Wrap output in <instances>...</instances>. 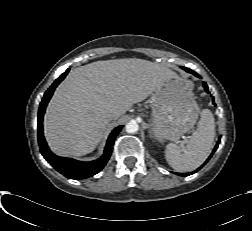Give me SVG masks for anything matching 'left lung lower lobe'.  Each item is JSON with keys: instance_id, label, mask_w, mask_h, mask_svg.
I'll use <instances>...</instances> for the list:
<instances>
[{"instance_id": "left-lung-lower-lobe-1", "label": "left lung lower lobe", "mask_w": 252, "mask_h": 231, "mask_svg": "<svg viewBox=\"0 0 252 231\" xmlns=\"http://www.w3.org/2000/svg\"><path fill=\"white\" fill-rule=\"evenodd\" d=\"M182 68H183L185 71H187V72H189V73H192V74H194V75L197 76V77H200L197 73H195V72L192 71L191 69H188V68H185V67H182ZM204 88H205L206 92L209 93L208 87H207V84H206V83H204ZM219 142H220V139L218 140L216 146L214 147L213 153H214L215 150L217 149V147H218V145H219ZM211 157H212V154L210 155V157L207 159L206 162H208V160H209ZM206 162H205L204 164H206ZM204 164H203V165H204ZM203 165H202V166H203ZM202 166H201V167H202ZM201 167H200V168H201ZM200 168H199V169H200ZM193 173H194V172L187 173L186 175L188 176V175H191V174H193ZM177 175L183 176V174H179V173H177Z\"/></svg>"}]
</instances>
